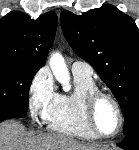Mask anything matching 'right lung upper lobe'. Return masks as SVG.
<instances>
[{
  "mask_svg": "<svg viewBox=\"0 0 139 150\" xmlns=\"http://www.w3.org/2000/svg\"><path fill=\"white\" fill-rule=\"evenodd\" d=\"M57 15L47 12L36 20L12 11L0 19V62L17 63L39 69L54 41Z\"/></svg>",
  "mask_w": 139,
  "mask_h": 150,
  "instance_id": "right-lung-upper-lobe-1",
  "label": "right lung upper lobe"
}]
</instances>
